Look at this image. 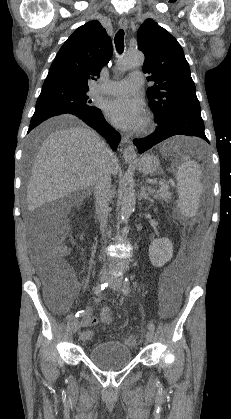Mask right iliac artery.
Masks as SVG:
<instances>
[{"label":"right iliac artery","mask_w":231,"mask_h":419,"mask_svg":"<svg viewBox=\"0 0 231 419\" xmlns=\"http://www.w3.org/2000/svg\"><path fill=\"white\" fill-rule=\"evenodd\" d=\"M108 282H105V283H102V284H99V285H97L95 288H94V294L95 295H98V294H100L106 287H108ZM84 315V310H81V311H78L76 314H75V317H81V316H83Z\"/></svg>","instance_id":"1"}]
</instances>
